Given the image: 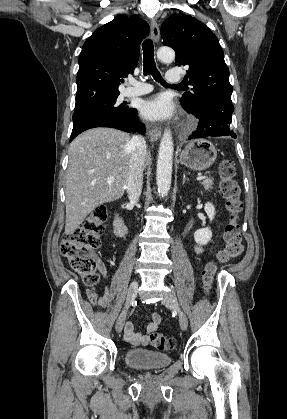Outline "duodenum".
I'll list each match as a JSON object with an SVG mask.
<instances>
[{"mask_svg":"<svg viewBox=\"0 0 287 419\" xmlns=\"http://www.w3.org/2000/svg\"><path fill=\"white\" fill-rule=\"evenodd\" d=\"M127 224L122 216L117 215L114 220V232L115 234L120 237L124 238L127 234Z\"/></svg>","mask_w":287,"mask_h":419,"instance_id":"obj_1","label":"duodenum"}]
</instances>
